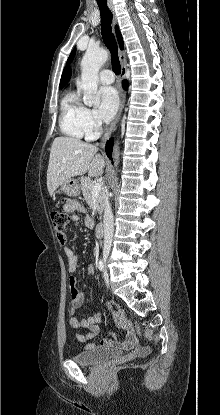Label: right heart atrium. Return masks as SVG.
I'll use <instances>...</instances> for the list:
<instances>
[{
  "label": "right heart atrium",
  "instance_id": "1",
  "mask_svg": "<svg viewBox=\"0 0 220 415\" xmlns=\"http://www.w3.org/2000/svg\"><path fill=\"white\" fill-rule=\"evenodd\" d=\"M84 118L88 135L94 137L101 130L100 123L95 118L93 111L87 108H85Z\"/></svg>",
  "mask_w": 220,
  "mask_h": 415
}]
</instances>
